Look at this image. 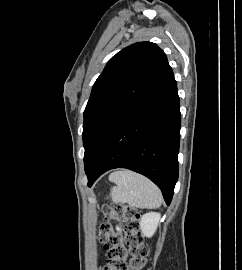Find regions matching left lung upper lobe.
Returning <instances> with one entry per match:
<instances>
[{
	"mask_svg": "<svg viewBox=\"0 0 242 270\" xmlns=\"http://www.w3.org/2000/svg\"><path fill=\"white\" fill-rule=\"evenodd\" d=\"M171 70L163 50L151 42L114 55L93 85L84 111L85 171L116 124L141 103Z\"/></svg>",
	"mask_w": 242,
	"mask_h": 270,
	"instance_id": "left-lung-upper-lobe-1",
	"label": "left lung upper lobe"
}]
</instances>
